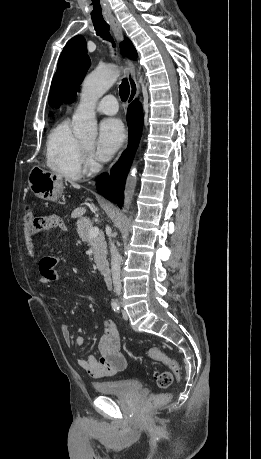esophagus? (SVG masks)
<instances>
[{"mask_svg": "<svg viewBox=\"0 0 261 459\" xmlns=\"http://www.w3.org/2000/svg\"><path fill=\"white\" fill-rule=\"evenodd\" d=\"M109 23L111 25V28H112L114 36H115V38L117 40V43L120 44L124 39V34H123V30H122V27H121L120 23L118 22V20L115 17L110 18L109 19ZM125 65H126V77H127V80L129 82V86H130V94H129L128 102H132L138 97L139 88H138L137 82L135 80V68H134L133 62L131 60H129V59H125ZM126 146H127V143H125V145L123 146L122 150L118 154V156H117L116 160L114 161V163L118 160V158L120 157L122 152L125 150ZM112 165L108 168V170H107L108 172L110 171Z\"/></svg>", "mask_w": 261, "mask_h": 459, "instance_id": "esophagus-1", "label": "esophagus"}]
</instances>
